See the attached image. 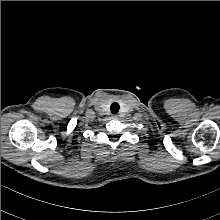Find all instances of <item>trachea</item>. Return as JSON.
<instances>
[{
    "label": "trachea",
    "mask_w": 220,
    "mask_h": 220,
    "mask_svg": "<svg viewBox=\"0 0 220 220\" xmlns=\"http://www.w3.org/2000/svg\"><path fill=\"white\" fill-rule=\"evenodd\" d=\"M120 106L118 103H112L110 106L111 113L117 114L119 112Z\"/></svg>",
    "instance_id": "obj_1"
}]
</instances>
